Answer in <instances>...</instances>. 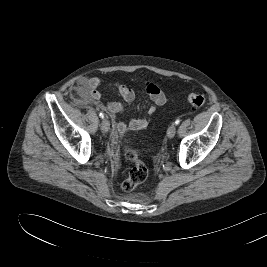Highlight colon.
Instances as JSON below:
<instances>
[{
    "instance_id": "colon-1",
    "label": "colon",
    "mask_w": 267,
    "mask_h": 267,
    "mask_svg": "<svg viewBox=\"0 0 267 267\" xmlns=\"http://www.w3.org/2000/svg\"><path fill=\"white\" fill-rule=\"evenodd\" d=\"M187 101L192 107L200 108L205 104V97L199 93H191L187 97ZM124 156L128 161L133 163V167L122 182V189L124 191H131L147 179L148 169L139 159L138 153L134 149L126 148Z\"/></svg>"
}]
</instances>
